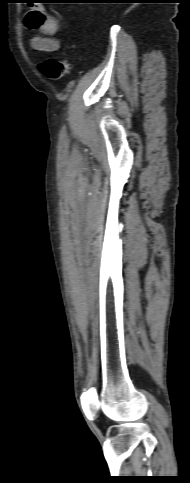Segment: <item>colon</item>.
<instances>
[{
    "mask_svg": "<svg viewBox=\"0 0 190 483\" xmlns=\"http://www.w3.org/2000/svg\"><path fill=\"white\" fill-rule=\"evenodd\" d=\"M39 70L48 79L56 81L69 73V65L65 58H49L39 63Z\"/></svg>",
    "mask_w": 190,
    "mask_h": 483,
    "instance_id": "1",
    "label": "colon"
}]
</instances>
